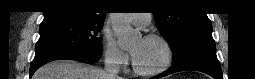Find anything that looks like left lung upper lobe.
Wrapping results in <instances>:
<instances>
[{
  "mask_svg": "<svg viewBox=\"0 0 255 79\" xmlns=\"http://www.w3.org/2000/svg\"><path fill=\"white\" fill-rule=\"evenodd\" d=\"M153 15L157 28L172 48L173 65L201 52L215 51L212 25L207 14L164 9L153 12Z\"/></svg>",
  "mask_w": 255,
  "mask_h": 79,
  "instance_id": "1",
  "label": "left lung upper lobe"
}]
</instances>
